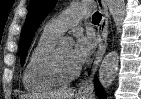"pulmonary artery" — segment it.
Returning <instances> with one entry per match:
<instances>
[{"label": "pulmonary artery", "mask_w": 141, "mask_h": 99, "mask_svg": "<svg viewBox=\"0 0 141 99\" xmlns=\"http://www.w3.org/2000/svg\"><path fill=\"white\" fill-rule=\"evenodd\" d=\"M92 9V5L86 3L72 6L51 19L45 25L44 31L59 38L65 31L75 26L81 18L88 17Z\"/></svg>", "instance_id": "1"}]
</instances>
